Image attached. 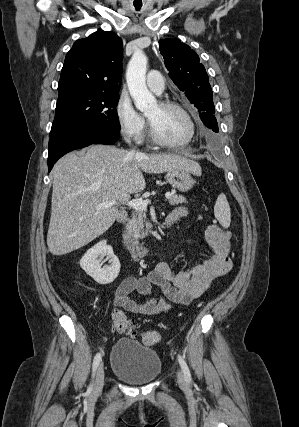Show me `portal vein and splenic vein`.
<instances>
[{
	"label": "portal vein and splenic vein",
	"instance_id": "obj_1",
	"mask_svg": "<svg viewBox=\"0 0 299 427\" xmlns=\"http://www.w3.org/2000/svg\"><path fill=\"white\" fill-rule=\"evenodd\" d=\"M165 197L168 199L171 197L170 193H166ZM150 203V200H141V199H134L131 200L127 203V205L135 210H141V211H145L147 209L148 204ZM117 202L116 201H106L103 202L102 204H100V208H108L111 207L113 205H116Z\"/></svg>",
	"mask_w": 299,
	"mask_h": 427
}]
</instances>
